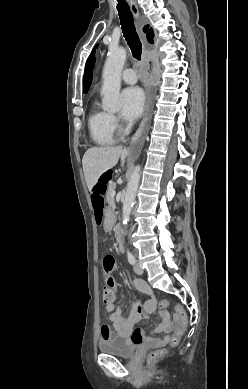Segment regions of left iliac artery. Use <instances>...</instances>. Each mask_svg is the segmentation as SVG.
<instances>
[{
    "label": "left iliac artery",
    "mask_w": 248,
    "mask_h": 389,
    "mask_svg": "<svg viewBox=\"0 0 248 389\" xmlns=\"http://www.w3.org/2000/svg\"><path fill=\"white\" fill-rule=\"evenodd\" d=\"M127 257H128L129 263L131 265H133L135 263V257L129 250L127 251Z\"/></svg>",
    "instance_id": "left-iliac-artery-1"
}]
</instances>
